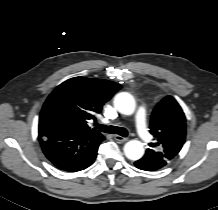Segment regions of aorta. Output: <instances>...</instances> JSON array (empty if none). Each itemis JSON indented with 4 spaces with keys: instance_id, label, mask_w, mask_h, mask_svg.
<instances>
[{
    "instance_id": "762f6f07",
    "label": "aorta",
    "mask_w": 218,
    "mask_h": 210,
    "mask_svg": "<svg viewBox=\"0 0 218 210\" xmlns=\"http://www.w3.org/2000/svg\"><path fill=\"white\" fill-rule=\"evenodd\" d=\"M114 105L116 109L124 115H132L136 108V103L133 96L126 92L116 95L114 99ZM124 153L130 160H139L144 155L143 144L138 140H130L124 146Z\"/></svg>"
}]
</instances>
